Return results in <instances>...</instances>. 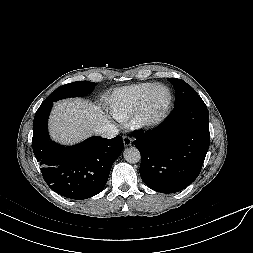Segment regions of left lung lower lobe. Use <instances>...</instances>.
Wrapping results in <instances>:
<instances>
[{
    "label": "left lung lower lobe",
    "instance_id": "1",
    "mask_svg": "<svg viewBox=\"0 0 253 253\" xmlns=\"http://www.w3.org/2000/svg\"><path fill=\"white\" fill-rule=\"evenodd\" d=\"M133 134L144 183L157 192L175 193L201 171L210 143L208 109L201 98L192 100L175 107L156 128Z\"/></svg>",
    "mask_w": 253,
    "mask_h": 253
}]
</instances>
